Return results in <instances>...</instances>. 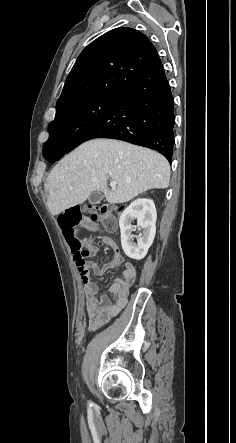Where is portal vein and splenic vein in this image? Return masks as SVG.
I'll return each mask as SVG.
<instances>
[{"label": "portal vein and splenic vein", "mask_w": 236, "mask_h": 443, "mask_svg": "<svg viewBox=\"0 0 236 443\" xmlns=\"http://www.w3.org/2000/svg\"><path fill=\"white\" fill-rule=\"evenodd\" d=\"M116 182L115 181H111L110 182V186H111V188H112V190H115L116 189Z\"/></svg>", "instance_id": "portal-vein-and-splenic-vein-1"}]
</instances>
